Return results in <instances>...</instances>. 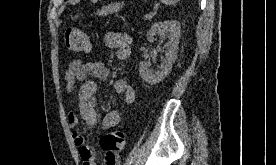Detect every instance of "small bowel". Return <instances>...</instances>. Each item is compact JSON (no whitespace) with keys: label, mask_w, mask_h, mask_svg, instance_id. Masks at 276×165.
Here are the masks:
<instances>
[{"label":"small bowel","mask_w":276,"mask_h":165,"mask_svg":"<svg viewBox=\"0 0 276 165\" xmlns=\"http://www.w3.org/2000/svg\"><path fill=\"white\" fill-rule=\"evenodd\" d=\"M105 43L116 50L117 58L120 61H126L131 56V37L128 34L120 32H108L104 37ZM94 77L100 80H106L109 77V70L98 60L82 62L79 59L69 63L65 71L66 90L71 93L76 85L80 82L81 87L78 92L79 115L87 126L93 127L98 121L97 101L95 94L97 85L94 81L89 80ZM115 93L122 95L126 104L135 102L136 93L132 86L124 79H118L113 84ZM68 124L72 130V139L78 149L82 165H97L95 161V151L89 146L81 133L77 130L79 119L75 113L70 112L67 116ZM120 122V112L117 109L108 111L101 122L104 130L116 127ZM105 165H119L118 155L104 156Z\"/></svg>","instance_id":"small-bowel-1"}]
</instances>
